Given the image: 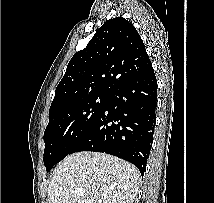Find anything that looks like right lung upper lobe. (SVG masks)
Returning <instances> with one entry per match:
<instances>
[{"label":"right lung upper lobe","instance_id":"right-lung-upper-lobe-1","mask_svg":"<svg viewBox=\"0 0 214 203\" xmlns=\"http://www.w3.org/2000/svg\"><path fill=\"white\" fill-rule=\"evenodd\" d=\"M151 67L135 27L122 17L107 20L71 58L49 111L90 94L109 93Z\"/></svg>","mask_w":214,"mask_h":203}]
</instances>
